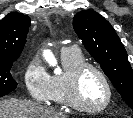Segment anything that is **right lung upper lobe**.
Instances as JSON below:
<instances>
[{
    "label": "right lung upper lobe",
    "mask_w": 133,
    "mask_h": 118,
    "mask_svg": "<svg viewBox=\"0 0 133 118\" xmlns=\"http://www.w3.org/2000/svg\"><path fill=\"white\" fill-rule=\"evenodd\" d=\"M30 18L12 12L0 21V59H17L26 42Z\"/></svg>",
    "instance_id": "obj_1"
}]
</instances>
